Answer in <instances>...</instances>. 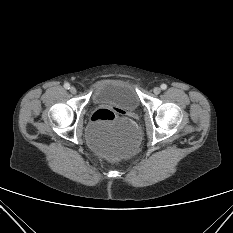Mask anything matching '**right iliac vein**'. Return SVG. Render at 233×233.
Segmentation results:
<instances>
[{
    "label": "right iliac vein",
    "mask_w": 233,
    "mask_h": 233,
    "mask_svg": "<svg viewBox=\"0 0 233 233\" xmlns=\"http://www.w3.org/2000/svg\"><path fill=\"white\" fill-rule=\"evenodd\" d=\"M70 92H71L72 94H76V93H77V89H76L75 87H71V88H70Z\"/></svg>",
    "instance_id": "63e3f726"
}]
</instances>
